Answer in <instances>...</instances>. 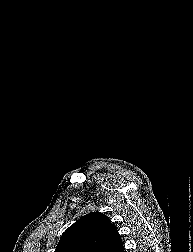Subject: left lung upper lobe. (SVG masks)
Listing matches in <instances>:
<instances>
[{"mask_svg": "<svg viewBox=\"0 0 193 252\" xmlns=\"http://www.w3.org/2000/svg\"><path fill=\"white\" fill-rule=\"evenodd\" d=\"M55 252H124V247L116 226L104 214L92 212L62 234Z\"/></svg>", "mask_w": 193, "mask_h": 252, "instance_id": "obj_1", "label": "left lung upper lobe"}]
</instances>
